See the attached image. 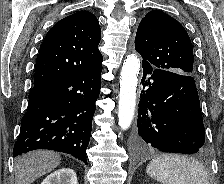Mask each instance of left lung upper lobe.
<instances>
[{
    "mask_svg": "<svg viewBox=\"0 0 224 184\" xmlns=\"http://www.w3.org/2000/svg\"><path fill=\"white\" fill-rule=\"evenodd\" d=\"M135 49L143 66L193 76V48L184 27L169 15L153 10L141 20Z\"/></svg>",
    "mask_w": 224,
    "mask_h": 184,
    "instance_id": "1",
    "label": "left lung upper lobe"
}]
</instances>
